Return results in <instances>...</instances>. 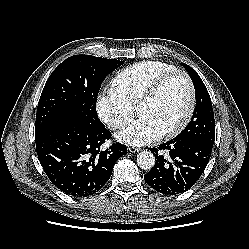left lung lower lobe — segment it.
Segmentation results:
<instances>
[{"label":"left lung lower lobe","mask_w":249,"mask_h":249,"mask_svg":"<svg viewBox=\"0 0 249 249\" xmlns=\"http://www.w3.org/2000/svg\"><path fill=\"white\" fill-rule=\"evenodd\" d=\"M213 144L200 140L176 138L150 150L155 154L154 167L144 175L145 182L154 190L176 195L190 189L206 168ZM168 150L170 158L159 155Z\"/></svg>","instance_id":"left-lung-lower-lobe-1"}]
</instances>
